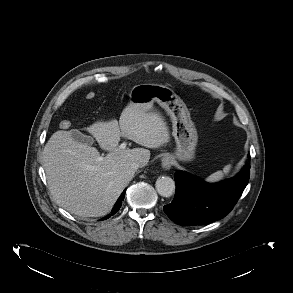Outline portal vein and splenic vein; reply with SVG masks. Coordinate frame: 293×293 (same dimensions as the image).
<instances>
[{"instance_id": "obj_1", "label": "portal vein and splenic vein", "mask_w": 293, "mask_h": 293, "mask_svg": "<svg viewBox=\"0 0 293 293\" xmlns=\"http://www.w3.org/2000/svg\"><path fill=\"white\" fill-rule=\"evenodd\" d=\"M126 145H127V143H126V142H123V143L119 146V148H120V149H125V148H126ZM103 158H104L103 156H100V157H99V161L103 160Z\"/></svg>"}]
</instances>
